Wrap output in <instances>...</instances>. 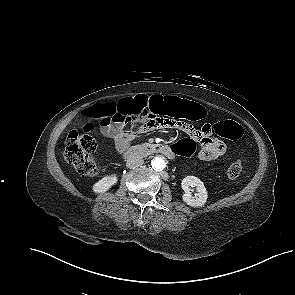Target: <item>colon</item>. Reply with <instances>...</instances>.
<instances>
[{"label":"colon","instance_id":"1","mask_svg":"<svg viewBox=\"0 0 295 295\" xmlns=\"http://www.w3.org/2000/svg\"><path fill=\"white\" fill-rule=\"evenodd\" d=\"M154 115L158 118L169 117L175 120H187L196 122L206 117V110L201 105L175 97L160 98L158 96L147 98L138 96L126 99L118 105H96L86 111V116L101 121H112L126 117L140 115ZM217 135L230 139H239L243 134L242 127L232 121L223 120L214 125ZM92 125L87 124L83 132L71 131L65 142L64 156L66 161L74 169L85 176H93L97 173V164L93 158L96 149L95 139L90 134ZM175 151L183 157L194 155L195 144L189 139L181 140L175 145ZM242 172L239 161L232 163L227 169L229 179H236Z\"/></svg>","mask_w":295,"mask_h":295}]
</instances>
